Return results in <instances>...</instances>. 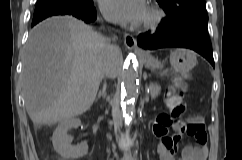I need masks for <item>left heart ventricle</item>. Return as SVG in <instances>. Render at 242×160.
Masks as SVG:
<instances>
[{
  "mask_svg": "<svg viewBox=\"0 0 242 160\" xmlns=\"http://www.w3.org/2000/svg\"><path fill=\"white\" fill-rule=\"evenodd\" d=\"M148 14H149V12H148V8H147L143 20L146 19V18L148 17Z\"/></svg>",
  "mask_w": 242,
  "mask_h": 160,
  "instance_id": "obj_1",
  "label": "left heart ventricle"
}]
</instances>
